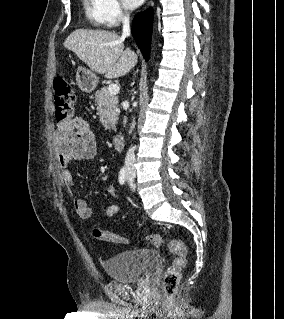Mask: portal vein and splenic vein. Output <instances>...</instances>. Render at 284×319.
<instances>
[{"instance_id": "portal-vein-and-splenic-vein-1", "label": "portal vein and splenic vein", "mask_w": 284, "mask_h": 319, "mask_svg": "<svg viewBox=\"0 0 284 319\" xmlns=\"http://www.w3.org/2000/svg\"><path fill=\"white\" fill-rule=\"evenodd\" d=\"M108 91H109V93H111L113 95H117L120 91V88L117 84H110L108 87Z\"/></svg>"}]
</instances>
